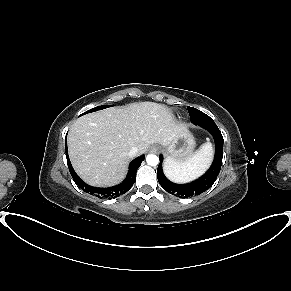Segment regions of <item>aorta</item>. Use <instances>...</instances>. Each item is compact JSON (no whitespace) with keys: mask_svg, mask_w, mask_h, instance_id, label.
<instances>
[{"mask_svg":"<svg viewBox=\"0 0 291 291\" xmlns=\"http://www.w3.org/2000/svg\"><path fill=\"white\" fill-rule=\"evenodd\" d=\"M146 162L150 166H156L159 163V158L154 154H149L146 157Z\"/></svg>","mask_w":291,"mask_h":291,"instance_id":"aorta-1","label":"aorta"}]
</instances>
